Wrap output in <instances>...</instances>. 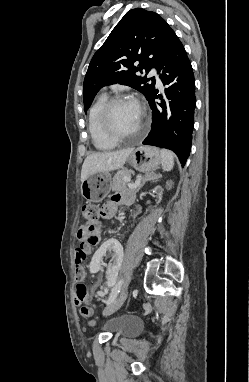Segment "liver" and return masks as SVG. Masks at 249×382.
Here are the masks:
<instances>
[{
	"instance_id": "6515ba94",
	"label": "liver",
	"mask_w": 249,
	"mask_h": 382,
	"mask_svg": "<svg viewBox=\"0 0 249 382\" xmlns=\"http://www.w3.org/2000/svg\"><path fill=\"white\" fill-rule=\"evenodd\" d=\"M131 152L132 149L128 148L114 152H96L88 155L82 165L81 182L93 173L108 172L123 167Z\"/></svg>"
}]
</instances>
